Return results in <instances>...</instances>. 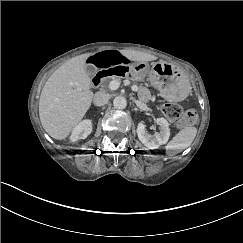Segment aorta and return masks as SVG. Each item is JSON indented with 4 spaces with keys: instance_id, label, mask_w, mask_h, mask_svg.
Returning <instances> with one entry per match:
<instances>
[{
    "instance_id": "762f6f07",
    "label": "aorta",
    "mask_w": 243,
    "mask_h": 243,
    "mask_svg": "<svg viewBox=\"0 0 243 243\" xmlns=\"http://www.w3.org/2000/svg\"><path fill=\"white\" fill-rule=\"evenodd\" d=\"M114 107L117 109H124L127 106V100L123 96H117L113 101Z\"/></svg>"
}]
</instances>
